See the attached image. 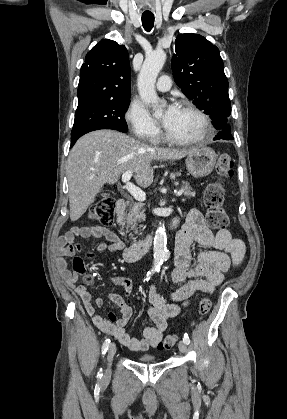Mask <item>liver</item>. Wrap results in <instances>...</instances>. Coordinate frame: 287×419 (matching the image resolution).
<instances>
[{
	"mask_svg": "<svg viewBox=\"0 0 287 419\" xmlns=\"http://www.w3.org/2000/svg\"><path fill=\"white\" fill-rule=\"evenodd\" d=\"M194 149L148 146L114 130H97L82 136L67 160L71 221L78 220L95 201L105 184H114L121 174L132 171L136 183L148 187L153 182V161L180 160Z\"/></svg>",
	"mask_w": 287,
	"mask_h": 419,
	"instance_id": "obj_1",
	"label": "liver"
}]
</instances>
